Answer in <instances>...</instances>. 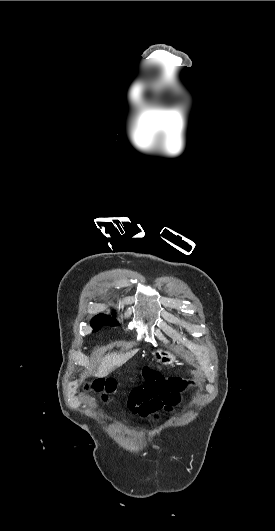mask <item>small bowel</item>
<instances>
[{
    "label": "small bowel",
    "mask_w": 275,
    "mask_h": 531,
    "mask_svg": "<svg viewBox=\"0 0 275 531\" xmlns=\"http://www.w3.org/2000/svg\"><path fill=\"white\" fill-rule=\"evenodd\" d=\"M143 375V386L138 388L131 396L129 407L133 414L139 417H152L155 422L161 421L160 412L164 411L168 414H173L175 408L181 404V394L187 392H194V385L192 382V375L190 373H166L164 375V382L162 376L164 371L160 367H151L144 363L140 367ZM117 377L115 375H108L104 385L107 391L106 395L102 396V403L108 407L111 403V396L116 394ZM199 389L198 387L196 388ZM111 395V396H110Z\"/></svg>",
    "instance_id": "small-bowel-1"
}]
</instances>
